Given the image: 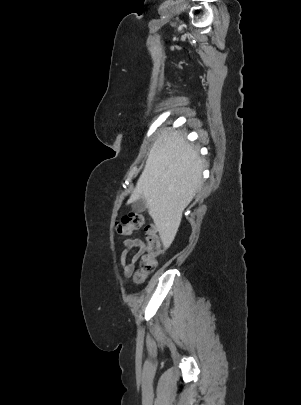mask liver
I'll return each instance as SVG.
<instances>
[{
    "mask_svg": "<svg viewBox=\"0 0 301 405\" xmlns=\"http://www.w3.org/2000/svg\"><path fill=\"white\" fill-rule=\"evenodd\" d=\"M202 159L180 131L165 129L148 154L128 203L146 200L163 245L175 238L184 209L202 183Z\"/></svg>",
    "mask_w": 301,
    "mask_h": 405,
    "instance_id": "6515ba94",
    "label": "liver"
}]
</instances>
